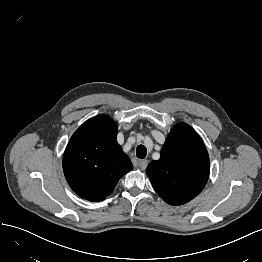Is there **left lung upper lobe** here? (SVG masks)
Instances as JSON below:
<instances>
[{"label":"left lung upper lobe","instance_id":"5c2ea615","mask_svg":"<svg viewBox=\"0 0 262 262\" xmlns=\"http://www.w3.org/2000/svg\"><path fill=\"white\" fill-rule=\"evenodd\" d=\"M146 173L162 199L182 205L196 197L209 177V155L197 132L178 123L169 133L160 159L152 161Z\"/></svg>","mask_w":262,"mask_h":262}]
</instances>
